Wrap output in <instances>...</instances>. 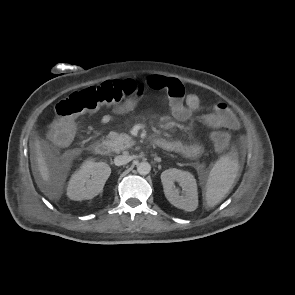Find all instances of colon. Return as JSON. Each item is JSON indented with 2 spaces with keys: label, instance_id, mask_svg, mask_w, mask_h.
<instances>
[{
  "label": "colon",
  "instance_id": "colon-1",
  "mask_svg": "<svg viewBox=\"0 0 295 295\" xmlns=\"http://www.w3.org/2000/svg\"><path fill=\"white\" fill-rule=\"evenodd\" d=\"M137 88V82L132 79L110 80L71 93L56 106L57 119L49 131L50 139L57 145L69 144L74 135V119L77 116L103 106L119 105L132 98ZM211 140L217 150H226L231 146L230 136L225 131L214 132Z\"/></svg>",
  "mask_w": 295,
  "mask_h": 295
}]
</instances>
